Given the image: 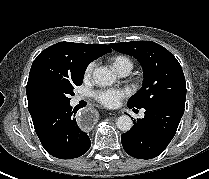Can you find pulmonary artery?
I'll use <instances>...</instances> for the list:
<instances>
[{
  "label": "pulmonary artery",
  "instance_id": "pulmonary-artery-1",
  "mask_svg": "<svg viewBox=\"0 0 209 179\" xmlns=\"http://www.w3.org/2000/svg\"><path fill=\"white\" fill-rule=\"evenodd\" d=\"M130 72V69L128 68H121L119 70H117V73L120 75V76H127ZM81 99V97H76V101H79Z\"/></svg>",
  "mask_w": 209,
  "mask_h": 179
}]
</instances>
